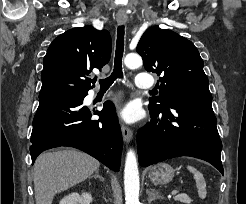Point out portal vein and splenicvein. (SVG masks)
<instances>
[{
    "instance_id": "1",
    "label": "portal vein and splenic vein",
    "mask_w": 246,
    "mask_h": 204,
    "mask_svg": "<svg viewBox=\"0 0 246 204\" xmlns=\"http://www.w3.org/2000/svg\"><path fill=\"white\" fill-rule=\"evenodd\" d=\"M177 193H178L177 190H173V191H172V195H176Z\"/></svg>"
}]
</instances>
